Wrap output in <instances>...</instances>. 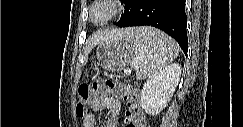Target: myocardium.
<instances>
[{"mask_svg":"<svg viewBox=\"0 0 243 127\" xmlns=\"http://www.w3.org/2000/svg\"><path fill=\"white\" fill-rule=\"evenodd\" d=\"M95 7H102L108 14L101 20L92 18V11ZM122 12V1L120 0H94L88 7V20L95 26H104L114 21Z\"/></svg>","mask_w":243,"mask_h":127,"instance_id":"obj_1","label":"myocardium"}]
</instances>
